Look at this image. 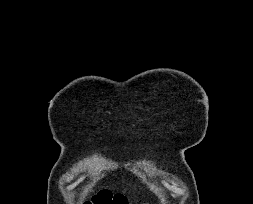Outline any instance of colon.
Masks as SVG:
<instances>
[{
  "mask_svg": "<svg viewBox=\"0 0 253 204\" xmlns=\"http://www.w3.org/2000/svg\"><path fill=\"white\" fill-rule=\"evenodd\" d=\"M84 204H127L122 198L112 195L110 192L102 190L94 195Z\"/></svg>",
  "mask_w": 253,
  "mask_h": 204,
  "instance_id": "colon-1",
  "label": "colon"
}]
</instances>
